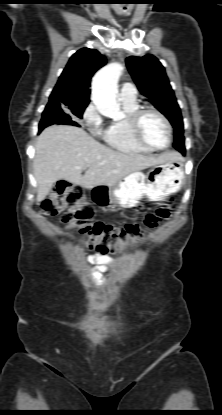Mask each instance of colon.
<instances>
[{"label": "colon", "mask_w": 222, "mask_h": 415, "mask_svg": "<svg viewBox=\"0 0 222 415\" xmlns=\"http://www.w3.org/2000/svg\"><path fill=\"white\" fill-rule=\"evenodd\" d=\"M45 216L61 214L67 228H77L90 249L101 254L123 252L130 239H136L169 217V210L148 213L143 225L116 226L92 220V210L82 203V188L68 181L58 182L42 205Z\"/></svg>", "instance_id": "colon-1"}]
</instances>
